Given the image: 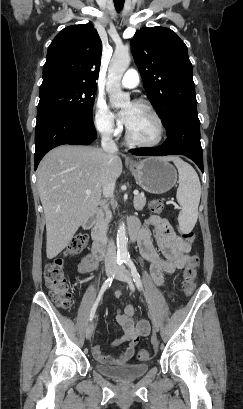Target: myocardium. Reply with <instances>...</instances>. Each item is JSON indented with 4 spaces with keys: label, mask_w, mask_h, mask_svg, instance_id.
Returning <instances> with one entry per match:
<instances>
[{
    "label": "myocardium",
    "mask_w": 243,
    "mask_h": 409,
    "mask_svg": "<svg viewBox=\"0 0 243 409\" xmlns=\"http://www.w3.org/2000/svg\"><path fill=\"white\" fill-rule=\"evenodd\" d=\"M133 104L139 105L144 107L152 116V118L155 120L156 125H157V129H158V135L154 140L151 141H145V140H141L138 139L136 137H134L128 126L126 127V137L127 140L135 145H139V146H145V147H154L159 145L165 136V127H164V123L163 120L161 119L160 115L158 114V112L155 110V108L146 100H142V99H137L133 102Z\"/></svg>",
    "instance_id": "f54148a6"
}]
</instances>
